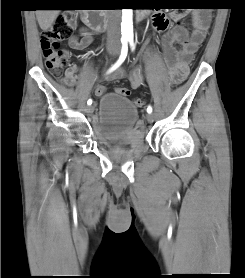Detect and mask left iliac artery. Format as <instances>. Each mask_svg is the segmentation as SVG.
<instances>
[{
	"label": "left iliac artery",
	"instance_id": "44dca946",
	"mask_svg": "<svg viewBox=\"0 0 245 278\" xmlns=\"http://www.w3.org/2000/svg\"><path fill=\"white\" fill-rule=\"evenodd\" d=\"M129 42H130L131 47L133 48V38L132 37H129ZM147 112L148 113L152 112V107L151 106H148Z\"/></svg>",
	"mask_w": 245,
	"mask_h": 278
}]
</instances>
